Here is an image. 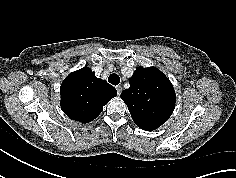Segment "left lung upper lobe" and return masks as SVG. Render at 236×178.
I'll return each instance as SVG.
<instances>
[{"label":"left lung upper lobe","instance_id":"obj_1","mask_svg":"<svg viewBox=\"0 0 236 178\" xmlns=\"http://www.w3.org/2000/svg\"><path fill=\"white\" fill-rule=\"evenodd\" d=\"M121 93L135 124L154 130L165 123L175 108V92L170 80L155 67H138Z\"/></svg>","mask_w":236,"mask_h":178}]
</instances>
